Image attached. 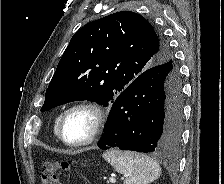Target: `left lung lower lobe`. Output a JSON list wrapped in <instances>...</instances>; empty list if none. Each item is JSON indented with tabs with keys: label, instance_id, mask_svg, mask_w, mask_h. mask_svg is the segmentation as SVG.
Instances as JSON below:
<instances>
[{
	"label": "left lung lower lobe",
	"instance_id": "left-lung-lower-lobe-1",
	"mask_svg": "<svg viewBox=\"0 0 224 184\" xmlns=\"http://www.w3.org/2000/svg\"><path fill=\"white\" fill-rule=\"evenodd\" d=\"M173 63L154 66L136 77L114 100L98 142L102 150H175L182 132V83Z\"/></svg>",
	"mask_w": 224,
	"mask_h": 184
}]
</instances>
